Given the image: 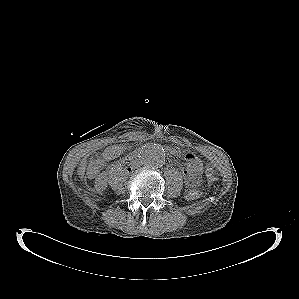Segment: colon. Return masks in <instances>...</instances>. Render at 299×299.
I'll return each instance as SVG.
<instances>
[{
    "instance_id": "1",
    "label": "colon",
    "mask_w": 299,
    "mask_h": 299,
    "mask_svg": "<svg viewBox=\"0 0 299 299\" xmlns=\"http://www.w3.org/2000/svg\"><path fill=\"white\" fill-rule=\"evenodd\" d=\"M185 167L195 176L201 177L204 167L201 159L193 153H186L183 156ZM89 175H93L94 169L90 168ZM202 192L197 189H192L187 192L186 198L188 200H196L201 197Z\"/></svg>"
}]
</instances>
